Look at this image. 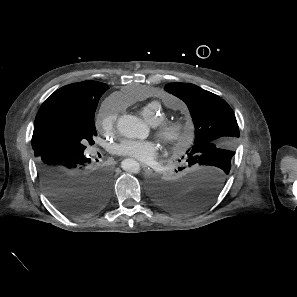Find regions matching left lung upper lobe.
I'll return each instance as SVG.
<instances>
[{
    "label": "left lung upper lobe",
    "instance_id": "5c2ea615",
    "mask_svg": "<svg viewBox=\"0 0 297 297\" xmlns=\"http://www.w3.org/2000/svg\"><path fill=\"white\" fill-rule=\"evenodd\" d=\"M165 90L183 100L193 117L195 140L186 152L187 162L193 166L213 162L230 171L239 128L227 102L191 83H169Z\"/></svg>",
    "mask_w": 297,
    "mask_h": 297
}]
</instances>
